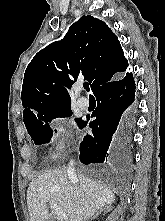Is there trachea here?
Instances as JSON below:
<instances>
[{
    "instance_id": "trachea-1",
    "label": "trachea",
    "mask_w": 165,
    "mask_h": 221,
    "mask_svg": "<svg viewBox=\"0 0 165 221\" xmlns=\"http://www.w3.org/2000/svg\"><path fill=\"white\" fill-rule=\"evenodd\" d=\"M84 89H86V91H88L89 92V84L88 83H84Z\"/></svg>"
}]
</instances>
